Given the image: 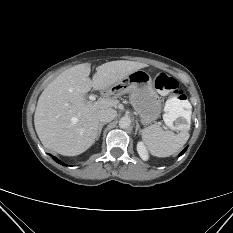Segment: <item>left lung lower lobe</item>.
<instances>
[{
    "label": "left lung lower lobe",
    "instance_id": "left-lung-lower-lobe-1",
    "mask_svg": "<svg viewBox=\"0 0 233 233\" xmlns=\"http://www.w3.org/2000/svg\"><path fill=\"white\" fill-rule=\"evenodd\" d=\"M187 150V147L179 154L180 156L184 154V152Z\"/></svg>",
    "mask_w": 233,
    "mask_h": 233
}]
</instances>
